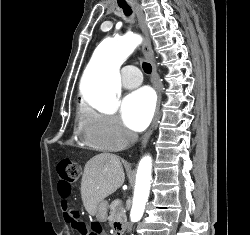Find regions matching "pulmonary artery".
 <instances>
[{"mask_svg":"<svg viewBox=\"0 0 250 235\" xmlns=\"http://www.w3.org/2000/svg\"><path fill=\"white\" fill-rule=\"evenodd\" d=\"M142 75L136 66L128 65L122 70V85L127 89H132L140 85Z\"/></svg>","mask_w":250,"mask_h":235,"instance_id":"e3ab8cb5","label":"pulmonary artery"}]
</instances>
